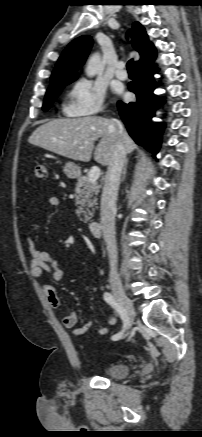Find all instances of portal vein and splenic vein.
I'll list each match as a JSON object with an SVG mask.
<instances>
[{
  "instance_id": "18ae733b",
  "label": "portal vein and splenic vein",
  "mask_w": 202,
  "mask_h": 437,
  "mask_svg": "<svg viewBox=\"0 0 202 437\" xmlns=\"http://www.w3.org/2000/svg\"><path fill=\"white\" fill-rule=\"evenodd\" d=\"M101 175V170L99 167H93L88 173L89 182H96Z\"/></svg>"
}]
</instances>
